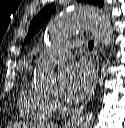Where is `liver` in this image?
Segmentation results:
<instances>
[{
    "label": "liver",
    "instance_id": "6515ba94",
    "mask_svg": "<svg viewBox=\"0 0 125 128\" xmlns=\"http://www.w3.org/2000/svg\"><path fill=\"white\" fill-rule=\"evenodd\" d=\"M15 128H33V126L29 124H16Z\"/></svg>",
    "mask_w": 125,
    "mask_h": 128
}]
</instances>
